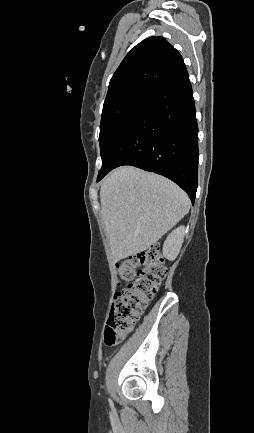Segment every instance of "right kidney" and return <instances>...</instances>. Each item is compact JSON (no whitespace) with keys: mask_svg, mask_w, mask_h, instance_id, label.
Wrapping results in <instances>:
<instances>
[{"mask_svg":"<svg viewBox=\"0 0 254 433\" xmlns=\"http://www.w3.org/2000/svg\"><path fill=\"white\" fill-rule=\"evenodd\" d=\"M184 235V226L178 227L169 234L163 245V255L165 258L174 260L177 257L184 240Z\"/></svg>","mask_w":254,"mask_h":433,"instance_id":"obj_1","label":"right kidney"}]
</instances>
